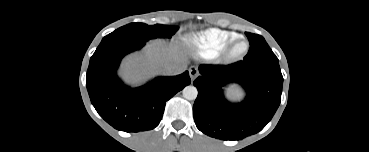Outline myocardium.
Masks as SVG:
<instances>
[{
	"label": "myocardium",
	"instance_id": "1",
	"mask_svg": "<svg viewBox=\"0 0 369 152\" xmlns=\"http://www.w3.org/2000/svg\"><path fill=\"white\" fill-rule=\"evenodd\" d=\"M239 44H244V48L242 50H237ZM250 44L249 41L244 37H237L225 49V57L228 60H237L242 58L249 51Z\"/></svg>",
	"mask_w": 369,
	"mask_h": 152
}]
</instances>
